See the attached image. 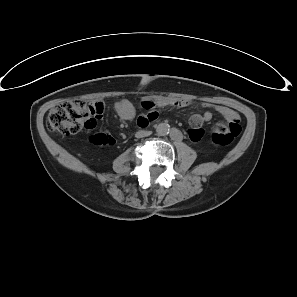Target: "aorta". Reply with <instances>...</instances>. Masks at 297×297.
<instances>
[{"label": "aorta", "instance_id": "1", "mask_svg": "<svg viewBox=\"0 0 297 297\" xmlns=\"http://www.w3.org/2000/svg\"><path fill=\"white\" fill-rule=\"evenodd\" d=\"M170 126L166 123H160L156 126V132L158 135L165 136L169 133Z\"/></svg>", "mask_w": 297, "mask_h": 297}]
</instances>
